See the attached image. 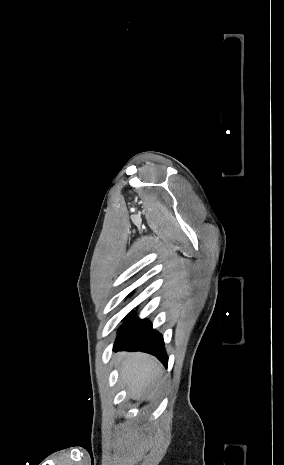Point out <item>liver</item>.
<instances>
[{
    "label": "liver",
    "instance_id": "1",
    "mask_svg": "<svg viewBox=\"0 0 284 465\" xmlns=\"http://www.w3.org/2000/svg\"><path fill=\"white\" fill-rule=\"evenodd\" d=\"M121 363L122 381L126 383L133 399H154L161 383L163 373L161 365L154 357L144 353H122L118 355Z\"/></svg>",
    "mask_w": 284,
    "mask_h": 465
}]
</instances>
